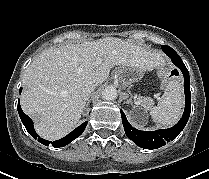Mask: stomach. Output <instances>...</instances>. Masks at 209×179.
<instances>
[{
	"instance_id": "0dacf381",
	"label": "stomach",
	"mask_w": 209,
	"mask_h": 179,
	"mask_svg": "<svg viewBox=\"0 0 209 179\" xmlns=\"http://www.w3.org/2000/svg\"><path fill=\"white\" fill-rule=\"evenodd\" d=\"M144 72L135 67H120L118 78L123 87H128L132 83L141 80Z\"/></svg>"
}]
</instances>
